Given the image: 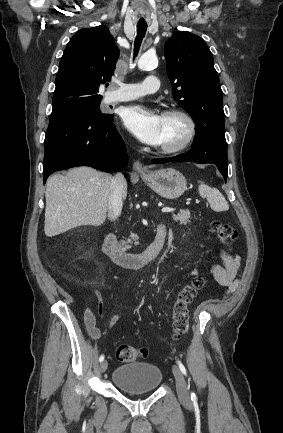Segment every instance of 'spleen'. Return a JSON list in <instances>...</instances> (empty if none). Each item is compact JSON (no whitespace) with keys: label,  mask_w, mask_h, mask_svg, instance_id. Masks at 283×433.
Returning <instances> with one entry per match:
<instances>
[{"label":"spleen","mask_w":283,"mask_h":433,"mask_svg":"<svg viewBox=\"0 0 283 433\" xmlns=\"http://www.w3.org/2000/svg\"><path fill=\"white\" fill-rule=\"evenodd\" d=\"M199 182V194L202 198H207L212 210H216V212H220V210H228L229 204L217 188H211L208 184H204L202 180H199Z\"/></svg>","instance_id":"obj_1"}]
</instances>
